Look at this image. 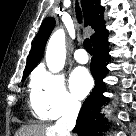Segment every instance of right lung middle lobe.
I'll return each instance as SVG.
<instances>
[{
  "mask_svg": "<svg viewBox=\"0 0 136 136\" xmlns=\"http://www.w3.org/2000/svg\"><path fill=\"white\" fill-rule=\"evenodd\" d=\"M28 76V74L27 75H25V76H23V79H22V81H24L25 79H26V77Z\"/></svg>",
  "mask_w": 136,
  "mask_h": 136,
  "instance_id": "right-lung-middle-lobe-1",
  "label": "right lung middle lobe"
}]
</instances>
